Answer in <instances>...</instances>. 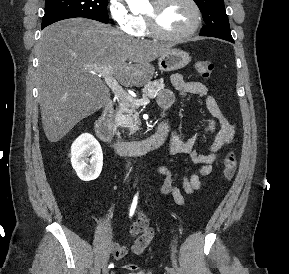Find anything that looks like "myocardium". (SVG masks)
Returning a JSON list of instances; mask_svg holds the SVG:
<instances>
[{
  "instance_id": "obj_1",
  "label": "myocardium",
  "mask_w": 289,
  "mask_h": 274,
  "mask_svg": "<svg viewBox=\"0 0 289 274\" xmlns=\"http://www.w3.org/2000/svg\"><path fill=\"white\" fill-rule=\"evenodd\" d=\"M169 1L170 0H152L151 10L149 12H146L144 15L150 33L157 38L168 41H181L191 37L197 32L202 21V12L199 4L196 0H187V2L192 6L194 11V22L186 31L182 33L172 34L162 30L158 21V15L160 10Z\"/></svg>"
}]
</instances>
